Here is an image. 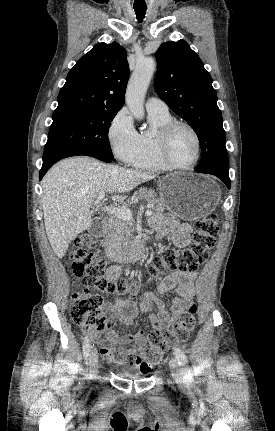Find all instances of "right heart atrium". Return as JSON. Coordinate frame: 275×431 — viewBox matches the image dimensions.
<instances>
[{"instance_id":"d8ad5b80","label":"right heart atrium","mask_w":275,"mask_h":431,"mask_svg":"<svg viewBox=\"0 0 275 431\" xmlns=\"http://www.w3.org/2000/svg\"><path fill=\"white\" fill-rule=\"evenodd\" d=\"M107 135L115 157L125 164L132 165L141 151V136L125 108L115 114L109 124Z\"/></svg>"}]
</instances>
